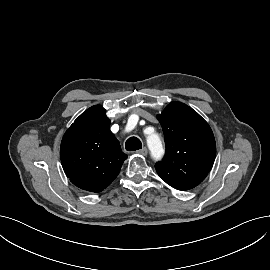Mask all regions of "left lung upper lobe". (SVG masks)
Returning <instances> with one entry per match:
<instances>
[{"label":"left lung upper lobe","instance_id":"left-lung-upper-lobe-1","mask_svg":"<svg viewBox=\"0 0 270 270\" xmlns=\"http://www.w3.org/2000/svg\"><path fill=\"white\" fill-rule=\"evenodd\" d=\"M157 118L166 144L163 160L155 165L158 175L178 190L196 187L210 172L216 155L210 126L191 107L176 101Z\"/></svg>","mask_w":270,"mask_h":270}]
</instances>
